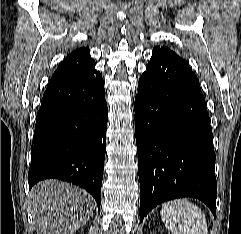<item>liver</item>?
<instances>
[{"mask_svg": "<svg viewBox=\"0 0 241 234\" xmlns=\"http://www.w3.org/2000/svg\"><path fill=\"white\" fill-rule=\"evenodd\" d=\"M28 199L38 234H74L95 209L88 192L54 179L37 183Z\"/></svg>", "mask_w": 241, "mask_h": 234, "instance_id": "obj_1", "label": "liver"}]
</instances>
